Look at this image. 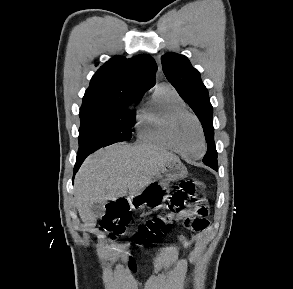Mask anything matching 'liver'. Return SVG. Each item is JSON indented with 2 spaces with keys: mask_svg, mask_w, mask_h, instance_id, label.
I'll return each instance as SVG.
<instances>
[{
  "mask_svg": "<svg viewBox=\"0 0 293 289\" xmlns=\"http://www.w3.org/2000/svg\"><path fill=\"white\" fill-rule=\"evenodd\" d=\"M180 159L149 144H114L90 155L75 177V201L83 222L92 223L94 203L137 195L162 167Z\"/></svg>",
  "mask_w": 293,
  "mask_h": 289,
  "instance_id": "liver-1",
  "label": "liver"
}]
</instances>
